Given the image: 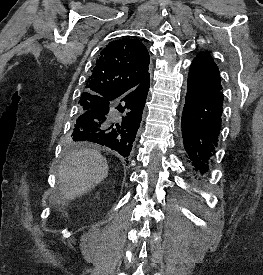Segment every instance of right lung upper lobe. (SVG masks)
<instances>
[{
    "label": "right lung upper lobe",
    "mask_w": 263,
    "mask_h": 275,
    "mask_svg": "<svg viewBox=\"0 0 263 275\" xmlns=\"http://www.w3.org/2000/svg\"><path fill=\"white\" fill-rule=\"evenodd\" d=\"M149 63L148 51L140 41L129 38L112 41L100 52L82 95L92 94L104 100L116 94L128 95L129 104L142 110L144 103L135 94L150 78Z\"/></svg>",
    "instance_id": "obj_1"
}]
</instances>
